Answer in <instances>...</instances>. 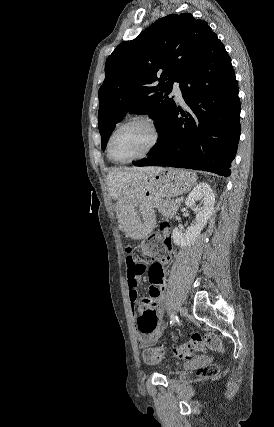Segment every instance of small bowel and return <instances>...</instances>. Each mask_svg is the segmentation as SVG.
I'll list each match as a JSON object with an SVG mask.
<instances>
[{
	"label": "small bowel",
	"mask_w": 274,
	"mask_h": 427,
	"mask_svg": "<svg viewBox=\"0 0 274 427\" xmlns=\"http://www.w3.org/2000/svg\"><path fill=\"white\" fill-rule=\"evenodd\" d=\"M126 251H131V246H126ZM134 256L132 254H126L125 260L132 261ZM171 255H168L164 259L158 261L161 265L156 264H144L140 269H128L126 276L128 277V298L132 305L138 300L137 285L139 278H148L149 286L147 292L149 293L148 299H140L137 305L138 319L137 326L140 327L142 332H154L149 335H137L139 346L142 348L143 345H151L156 342L161 334L165 331V319L163 312V305L160 304L159 300L163 299L167 290V281L165 277L166 266L171 262ZM163 270L162 278L159 279V272ZM160 280V281H159ZM149 309V311H147Z\"/></svg>",
	"instance_id": "c3829d8e"
}]
</instances>
